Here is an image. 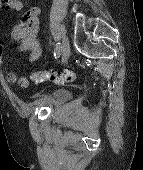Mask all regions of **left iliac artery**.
<instances>
[{"instance_id":"left-iliac-artery-1","label":"left iliac artery","mask_w":143,"mask_h":170,"mask_svg":"<svg viewBox=\"0 0 143 170\" xmlns=\"http://www.w3.org/2000/svg\"><path fill=\"white\" fill-rule=\"evenodd\" d=\"M61 46L60 43H58L54 50V57L57 59L60 56Z\"/></svg>"}]
</instances>
